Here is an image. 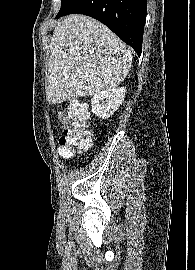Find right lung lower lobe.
I'll use <instances>...</instances> for the list:
<instances>
[{"mask_svg": "<svg viewBox=\"0 0 195 270\" xmlns=\"http://www.w3.org/2000/svg\"><path fill=\"white\" fill-rule=\"evenodd\" d=\"M84 14L105 24L140 56L147 13V0H76L56 18Z\"/></svg>", "mask_w": 195, "mask_h": 270, "instance_id": "98d812e1", "label": "right lung lower lobe"}]
</instances>
